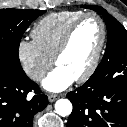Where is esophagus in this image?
<instances>
[{"mask_svg":"<svg viewBox=\"0 0 127 127\" xmlns=\"http://www.w3.org/2000/svg\"><path fill=\"white\" fill-rule=\"evenodd\" d=\"M57 98H58V95L51 94L48 96L49 102H54L55 100H57Z\"/></svg>","mask_w":127,"mask_h":127,"instance_id":"obj_1","label":"esophagus"}]
</instances>
